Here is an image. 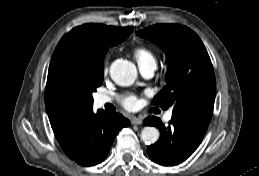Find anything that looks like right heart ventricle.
<instances>
[{"label": "right heart ventricle", "instance_id": "right-heart-ventricle-1", "mask_svg": "<svg viewBox=\"0 0 259 176\" xmlns=\"http://www.w3.org/2000/svg\"><path fill=\"white\" fill-rule=\"evenodd\" d=\"M133 55L140 65H146L150 63L156 64V57L152 49L146 46L136 47L133 51Z\"/></svg>", "mask_w": 259, "mask_h": 176}]
</instances>
